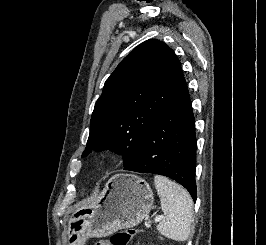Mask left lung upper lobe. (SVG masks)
Instances as JSON below:
<instances>
[{"mask_svg":"<svg viewBox=\"0 0 266 245\" xmlns=\"http://www.w3.org/2000/svg\"><path fill=\"white\" fill-rule=\"evenodd\" d=\"M183 82L180 61L165 43L150 39L137 46L105 82L82 157L111 149L122 154L128 167L142 137Z\"/></svg>","mask_w":266,"mask_h":245,"instance_id":"left-lung-upper-lobe-1","label":"left lung upper lobe"}]
</instances>
